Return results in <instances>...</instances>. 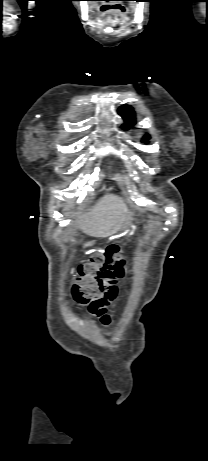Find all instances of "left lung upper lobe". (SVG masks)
<instances>
[{
    "label": "left lung upper lobe",
    "mask_w": 208,
    "mask_h": 461,
    "mask_svg": "<svg viewBox=\"0 0 208 461\" xmlns=\"http://www.w3.org/2000/svg\"><path fill=\"white\" fill-rule=\"evenodd\" d=\"M118 113L124 118L125 124L122 126L123 129H128L135 124V113L133 108L129 105L121 106ZM150 139L149 135H145L142 142H146Z\"/></svg>",
    "instance_id": "1"
}]
</instances>
